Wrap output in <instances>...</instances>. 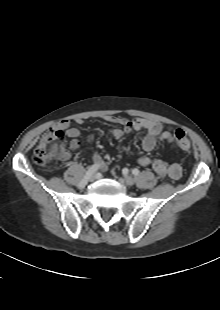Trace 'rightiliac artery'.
<instances>
[{"label": "right iliac artery", "mask_w": 220, "mask_h": 310, "mask_svg": "<svg viewBox=\"0 0 220 310\" xmlns=\"http://www.w3.org/2000/svg\"><path fill=\"white\" fill-rule=\"evenodd\" d=\"M99 169V166L97 164H94L92 166H90L84 176V178L79 182L78 184V188L82 189L85 187V185L87 184V181L89 179V177L95 173L97 170Z\"/></svg>", "instance_id": "obj_1"}]
</instances>
